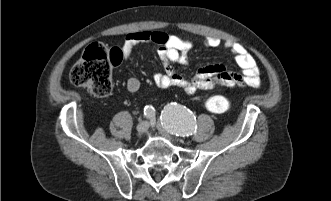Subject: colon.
Masks as SVG:
<instances>
[{"mask_svg": "<svg viewBox=\"0 0 331 201\" xmlns=\"http://www.w3.org/2000/svg\"><path fill=\"white\" fill-rule=\"evenodd\" d=\"M122 59L119 49H107L101 44L89 45L81 59L71 69L70 82L87 90L94 96L105 97L111 93V68ZM208 111L221 114L229 111L232 101L226 96L216 95L206 99Z\"/></svg>", "mask_w": 331, "mask_h": 201, "instance_id": "1", "label": "colon"}]
</instances>
